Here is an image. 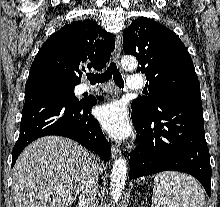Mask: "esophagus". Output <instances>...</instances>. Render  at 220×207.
<instances>
[{"instance_id": "1", "label": "esophagus", "mask_w": 220, "mask_h": 207, "mask_svg": "<svg viewBox=\"0 0 220 207\" xmlns=\"http://www.w3.org/2000/svg\"><path fill=\"white\" fill-rule=\"evenodd\" d=\"M121 47H122L121 37H120V35H117L115 38V49L113 52V59L115 61H118L120 58L121 49H122ZM119 154H120V150L115 145H112V147H111L112 158L113 159L117 158V156H119Z\"/></svg>"}]
</instances>
